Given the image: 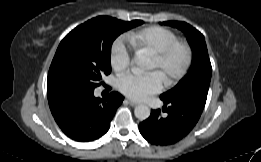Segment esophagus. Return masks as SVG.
I'll return each mask as SVG.
<instances>
[{
	"label": "esophagus",
	"instance_id": "1",
	"mask_svg": "<svg viewBox=\"0 0 261 162\" xmlns=\"http://www.w3.org/2000/svg\"><path fill=\"white\" fill-rule=\"evenodd\" d=\"M125 102L128 103L131 106H136L137 105V103H135V102H133V101H131L129 99H125Z\"/></svg>",
	"mask_w": 261,
	"mask_h": 162
}]
</instances>
